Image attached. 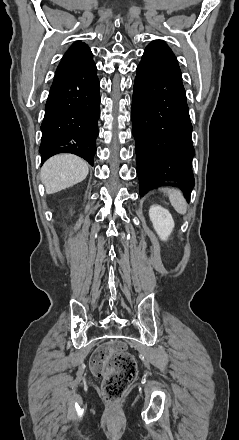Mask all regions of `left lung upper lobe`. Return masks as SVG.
<instances>
[{"instance_id":"5c2ea615","label":"left lung upper lobe","mask_w":239,"mask_h":440,"mask_svg":"<svg viewBox=\"0 0 239 440\" xmlns=\"http://www.w3.org/2000/svg\"><path fill=\"white\" fill-rule=\"evenodd\" d=\"M150 44H162V45H166L164 42L159 41V40H155V41H153V42L150 43Z\"/></svg>"}]
</instances>
